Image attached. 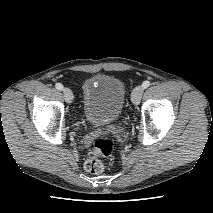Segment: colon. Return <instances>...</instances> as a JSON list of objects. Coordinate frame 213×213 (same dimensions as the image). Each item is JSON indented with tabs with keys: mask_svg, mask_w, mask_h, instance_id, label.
<instances>
[{
	"mask_svg": "<svg viewBox=\"0 0 213 213\" xmlns=\"http://www.w3.org/2000/svg\"><path fill=\"white\" fill-rule=\"evenodd\" d=\"M115 150V142L110 137L97 138L91 150L90 155L85 160L84 168L88 173L99 174L104 170L103 158L112 156Z\"/></svg>",
	"mask_w": 213,
	"mask_h": 213,
	"instance_id": "obj_1",
	"label": "colon"
}]
</instances>
